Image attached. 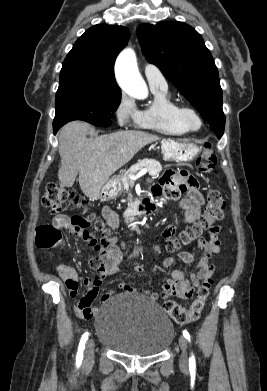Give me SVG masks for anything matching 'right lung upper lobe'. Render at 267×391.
Returning a JSON list of instances; mask_svg holds the SVG:
<instances>
[{
    "label": "right lung upper lobe",
    "instance_id": "cb5924a9",
    "mask_svg": "<svg viewBox=\"0 0 267 391\" xmlns=\"http://www.w3.org/2000/svg\"><path fill=\"white\" fill-rule=\"evenodd\" d=\"M129 31L123 26L95 25L77 39L66 56L60 79L76 75L95 76L117 85L114 63L126 46Z\"/></svg>",
    "mask_w": 267,
    "mask_h": 391
}]
</instances>
